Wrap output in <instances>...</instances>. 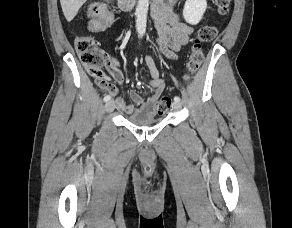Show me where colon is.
<instances>
[{
  "mask_svg": "<svg viewBox=\"0 0 292 228\" xmlns=\"http://www.w3.org/2000/svg\"><path fill=\"white\" fill-rule=\"evenodd\" d=\"M230 2L231 0H215L218 13L221 15L227 14ZM87 15L93 21L92 28L95 30L106 28L112 21V15L109 12H104L100 3L91 4ZM99 18L100 20H98ZM216 35L217 29L214 26L205 25L198 30L188 57L186 79H189L196 73L204 61L202 43L213 40ZM75 47L86 71L96 79L97 83L101 82L103 79L102 67L105 63V55L98 47L96 41L92 37L82 36L76 39ZM170 107L171 99L169 97L160 99L158 103L159 113L165 112Z\"/></svg>",
  "mask_w": 292,
  "mask_h": 228,
  "instance_id": "colon-1",
  "label": "colon"
}]
</instances>
